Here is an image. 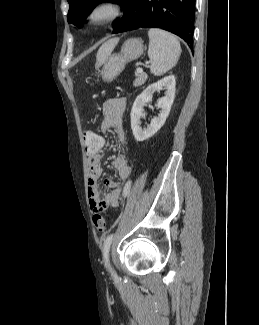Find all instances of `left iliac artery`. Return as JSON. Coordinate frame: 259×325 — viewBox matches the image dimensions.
<instances>
[{"label": "left iliac artery", "mask_w": 259, "mask_h": 325, "mask_svg": "<svg viewBox=\"0 0 259 325\" xmlns=\"http://www.w3.org/2000/svg\"><path fill=\"white\" fill-rule=\"evenodd\" d=\"M130 184L131 182L129 181L124 190V197H126L129 193L130 189ZM114 234H110L104 241V246H103V259L105 261V265L108 267V261H109V250H110V245L112 243Z\"/></svg>", "instance_id": "44dca946"}]
</instances>
